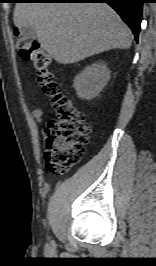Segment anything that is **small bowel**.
I'll return each mask as SVG.
<instances>
[{
  "mask_svg": "<svg viewBox=\"0 0 156 266\" xmlns=\"http://www.w3.org/2000/svg\"><path fill=\"white\" fill-rule=\"evenodd\" d=\"M42 115H43V112L40 110V109H35L33 111V116L35 117V119L38 121V122H41L42 120Z\"/></svg>",
  "mask_w": 156,
  "mask_h": 266,
  "instance_id": "obj_1",
  "label": "small bowel"
}]
</instances>
